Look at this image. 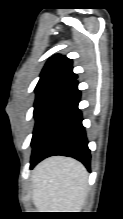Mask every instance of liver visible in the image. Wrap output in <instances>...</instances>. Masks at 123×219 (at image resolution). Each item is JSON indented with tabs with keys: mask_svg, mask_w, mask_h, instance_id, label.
Instances as JSON below:
<instances>
[{
	"mask_svg": "<svg viewBox=\"0 0 123 219\" xmlns=\"http://www.w3.org/2000/svg\"><path fill=\"white\" fill-rule=\"evenodd\" d=\"M87 170L79 161L52 156L32 174V201L40 212H80L87 196Z\"/></svg>",
	"mask_w": 123,
	"mask_h": 219,
	"instance_id": "1",
	"label": "liver"
}]
</instances>
